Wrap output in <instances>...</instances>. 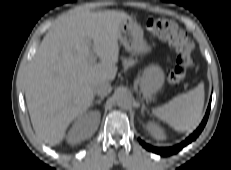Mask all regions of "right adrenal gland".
<instances>
[{
  "instance_id": "1",
  "label": "right adrenal gland",
  "mask_w": 231,
  "mask_h": 170,
  "mask_svg": "<svg viewBox=\"0 0 231 170\" xmlns=\"http://www.w3.org/2000/svg\"><path fill=\"white\" fill-rule=\"evenodd\" d=\"M104 99V97H100V99L96 100L95 102L92 103V106L94 104H101L102 100Z\"/></svg>"
}]
</instances>
